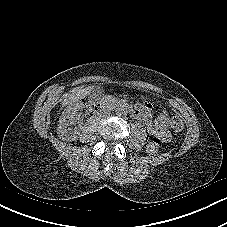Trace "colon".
Returning <instances> with one entry per match:
<instances>
[{
  "label": "colon",
  "instance_id": "1",
  "mask_svg": "<svg viewBox=\"0 0 227 227\" xmlns=\"http://www.w3.org/2000/svg\"><path fill=\"white\" fill-rule=\"evenodd\" d=\"M171 127L176 132L182 130V128H183V119H182L180 114H178V113L173 114V116L171 118ZM162 142H163V139L160 136L153 137V139L150 140L149 143L147 144L146 151L149 154L158 153L159 149L162 146Z\"/></svg>",
  "mask_w": 227,
  "mask_h": 227
}]
</instances>
